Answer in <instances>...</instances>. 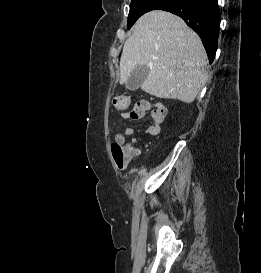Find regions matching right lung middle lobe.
<instances>
[{"label": "right lung middle lobe", "mask_w": 261, "mask_h": 273, "mask_svg": "<svg viewBox=\"0 0 261 273\" xmlns=\"http://www.w3.org/2000/svg\"><path fill=\"white\" fill-rule=\"evenodd\" d=\"M163 1L164 0H132L127 22L128 29L131 28L136 20L143 14L151 10H160L163 8Z\"/></svg>", "instance_id": "1"}]
</instances>
